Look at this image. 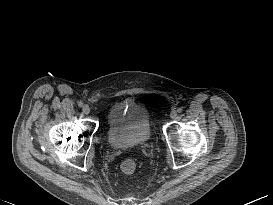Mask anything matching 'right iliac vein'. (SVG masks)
<instances>
[{"mask_svg":"<svg viewBox=\"0 0 273 205\" xmlns=\"http://www.w3.org/2000/svg\"><path fill=\"white\" fill-rule=\"evenodd\" d=\"M82 111L84 114L88 115L90 113V107L88 105H84Z\"/></svg>","mask_w":273,"mask_h":205,"instance_id":"obj_1","label":"right iliac vein"}]
</instances>
